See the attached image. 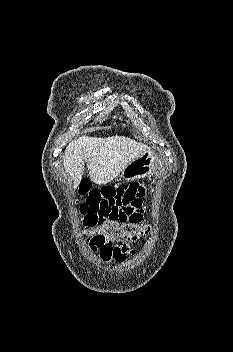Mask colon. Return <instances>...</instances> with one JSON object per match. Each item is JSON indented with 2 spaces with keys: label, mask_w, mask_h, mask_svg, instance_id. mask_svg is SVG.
<instances>
[{
  "label": "colon",
  "mask_w": 233,
  "mask_h": 352,
  "mask_svg": "<svg viewBox=\"0 0 233 352\" xmlns=\"http://www.w3.org/2000/svg\"><path fill=\"white\" fill-rule=\"evenodd\" d=\"M87 233L93 238L102 241H117L124 244L135 242L146 236L149 232L148 226L131 222L122 223L115 219H106L98 222L85 224Z\"/></svg>",
  "instance_id": "1"
}]
</instances>
